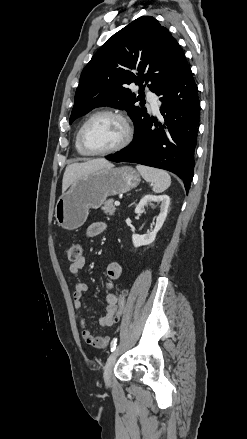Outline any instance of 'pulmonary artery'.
<instances>
[{
  "label": "pulmonary artery",
  "mask_w": 247,
  "mask_h": 439,
  "mask_svg": "<svg viewBox=\"0 0 247 439\" xmlns=\"http://www.w3.org/2000/svg\"><path fill=\"white\" fill-rule=\"evenodd\" d=\"M146 95H147L148 101L150 102V104L152 106L153 111L158 113L159 112V105H158L157 97L150 91H147Z\"/></svg>",
  "instance_id": "e3ab8cb5"
}]
</instances>
